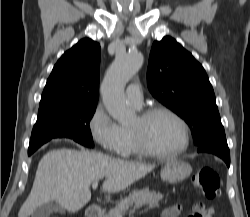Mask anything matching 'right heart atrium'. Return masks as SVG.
Listing matches in <instances>:
<instances>
[{
  "label": "right heart atrium",
  "mask_w": 250,
  "mask_h": 217,
  "mask_svg": "<svg viewBox=\"0 0 250 217\" xmlns=\"http://www.w3.org/2000/svg\"><path fill=\"white\" fill-rule=\"evenodd\" d=\"M87 127L92 139L107 153L121 154L124 139L121 127L98 104L89 117Z\"/></svg>",
  "instance_id": "right-heart-atrium-1"
}]
</instances>
